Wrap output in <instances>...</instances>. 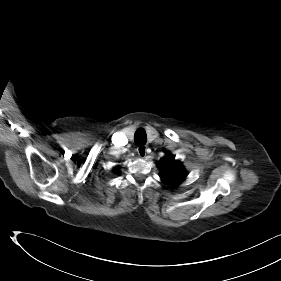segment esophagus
Returning <instances> with one entry per match:
<instances>
[{"label": "esophagus", "mask_w": 281, "mask_h": 281, "mask_svg": "<svg viewBox=\"0 0 281 281\" xmlns=\"http://www.w3.org/2000/svg\"><path fill=\"white\" fill-rule=\"evenodd\" d=\"M137 153L140 157H145L147 153V147L144 145H141L137 148Z\"/></svg>", "instance_id": "34e87169"}]
</instances>
